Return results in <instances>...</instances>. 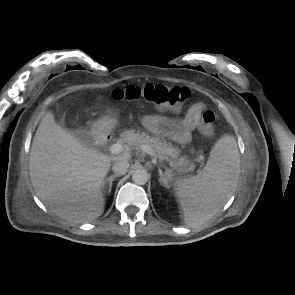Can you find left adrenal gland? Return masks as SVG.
Instances as JSON below:
<instances>
[{"instance_id": "left-adrenal-gland-1", "label": "left adrenal gland", "mask_w": 295, "mask_h": 295, "mask_svg": "<svg viewBox=\"0 0 295 295\" xmlns=\"http://www.w3.org/2000/svg\"><path fill=\"white\" fill-rule=\"evenodd\" d=\"M158 171H159V182H160V184H162L164 187L168 188V183H167L166 179L164 178L162 170L159 168Z\"/></svg>"}]
</instances>
